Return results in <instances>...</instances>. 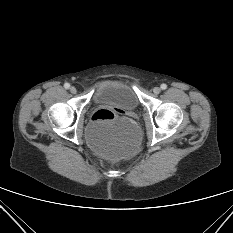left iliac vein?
<instances>
[{"label": "left iliac vein", "instance_id": "1", "mask_svg": "<svg viewBox=\"0 0 233 233\" xmlns=\"http://www.w3.org/2000/svg\"><path fill=\"white\" fill-rule=\"evenodd\" d=\"M160 92H161V89H160L159 87H154V88H153V93H154V94L157 95V94H159Z\"/></svg>", "mask_w": 233, "mask_h": 233}]
</instances>
